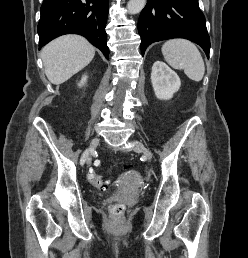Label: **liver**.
<instances>
[{"label": "liver", "mask_w": 248, "mask_h": 258, "mask_svg": "<svg viewBox=\"0 0 248 258\" xmlns=\"http://www.w3.org/2000/svg\"><path fill=\"white\" fill-rule=\"evenodd\" d=\"M94 47L83 37L65 35L41 50L45 74L52 84L59 85L86 67L94 58Z\"/></svg>", "instance_id": "liver-1"}]
</instances>
